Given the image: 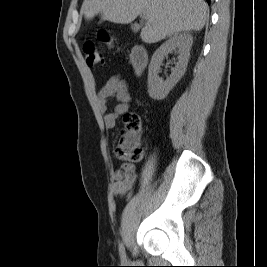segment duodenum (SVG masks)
I'll list each match as a JSON object with an SVG mask.
<instances>
[{"instance_id":"obj_1","label":"duodenum","mask_w":267,"mask_h":267,"mask_svg":"<svg viewBox=\"0 0 267 267\" xmlns=\"http://www.w3.org/2000/svg\"><path fill=\"white\" fill-rule=\"evenodd\" d=\"M132 67L136 73H141L148 63V53L143 46H135L131 52Z\"/></svg>"}]
</instances>
